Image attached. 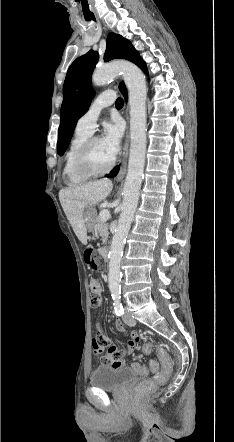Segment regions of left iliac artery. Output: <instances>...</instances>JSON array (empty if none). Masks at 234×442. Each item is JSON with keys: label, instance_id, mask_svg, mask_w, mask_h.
I'll use <instances>...</instances> for the list:
<instances>
[{"label": "left iliac artery", "instance_id": "44dca946", "mask_svg": "<svg viewBox=\"0 0 234 442\" xmlns=\"http://www.w3.org/2000/svg\"><path fill=\"white\" fill-rule=\"evenodd\" d=\"M112 298L114 300V309L117 316H122L124 314V308L121 303L120 293L112 294Z\"/></svg>", "mask_w": 234, "mask_h": 442}]
</instances>
